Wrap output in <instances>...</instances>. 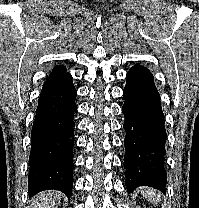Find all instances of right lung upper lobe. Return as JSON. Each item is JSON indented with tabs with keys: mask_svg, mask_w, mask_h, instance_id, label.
Masks as SVG:
<instances>
[{
	"mask_svg": "<svg viewBox=\"0 0 199 208\" xmlns=\"http://www.w3.org/2000/svg\"><path fill=\"white\" fill-rule=\"evenodd\" d=\"M67 74L66 73V68L64 66H56L51 74L49 75V78L48 79H51V78H58V77H61L63 75Z\"/></svg>",
	"mask_w": 199,
	"mask_h": 208,
	"instance_id": "cb5924a9",
	"label": "right lung upper lobe"
}]
</instances>
